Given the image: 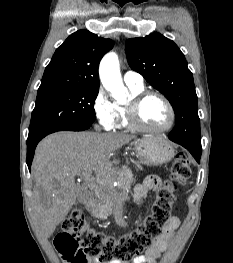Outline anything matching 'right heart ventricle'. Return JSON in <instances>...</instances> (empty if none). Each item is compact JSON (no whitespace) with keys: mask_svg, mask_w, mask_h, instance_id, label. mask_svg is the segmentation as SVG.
Masks as SVG:
<instances>
[{"mask_svg":"<svg viewBox=\"0 0 233 263\" xmlns=\"http://www.w3.org/2000/svg\"><path fill=\"white\" fill-rule=\"evenodd\" d=\"M128 88L130 92V99L137 93L144 91V85L143 86L128 85ZM115 109L119 117L117 128H129L130 126L128 124L127 115H126V105H120L116 103Z\"/></svg>","mask_w":233,"mask_h":263,"instance_id":"obj_1","label":"right heart ventricle"}]
</instances>
